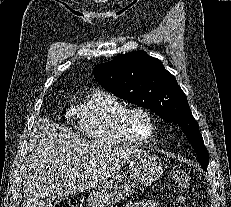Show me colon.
Wrapping results in <instances>:
<instances>
[{"label": "colon", "instance_id": "colon-1", "mask_svg": "<svg viewBox=\"0 0 231 207\" xmlns=\"http://www.w3.org/2000/svg\"><path fill=\"white\" fill-rule=\"evenodd\" d=\"M173 182L181 190L188 189L191 183L189 173L183 170H177L173 173ZM47 207H76V203L71 198L60 199L50 203Z\"/></svg>", "mask_w": 231, "mask_h": 207}]
</instances>
